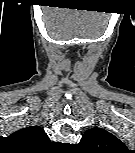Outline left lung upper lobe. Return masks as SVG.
Wrapping results in <instances>:
<instances>
[{
    "label": "left lung upper lobe",
    "instance_id": "1",
    "mask_svg": "<svg viewBox=\"0 0 135 153\" xmlns=\"http://www.w3.org/2000/svg\"><path fill=\"white\" fill-rule=\"evenodd\" d=\"M79 145L92 153H120L126 150L118 138L102 128L87 130Z\"/></svg>",
    "mask_w": 135,
    "mask_h": 153
}]
</instances>
